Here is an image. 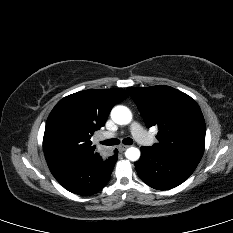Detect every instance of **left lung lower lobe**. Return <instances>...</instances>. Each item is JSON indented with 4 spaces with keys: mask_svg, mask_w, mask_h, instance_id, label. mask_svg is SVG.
<instances>
[{
    "mask_svg": "<svg viewBox=\"0 0 233 233\" xmlns=\"http://www.w3.org/2000/svg\"><path fill=\"white\" fill-rule=\"evenodd\" d=\"M203 154L183 150H158L141 147L135 162L139 177L158 190H168L183 183L195 170Z\"/></svg>",
    "mask_w": 233,
    "mask_h": 233,
    "instance_id": "obj_1",
    "label": "left lung lower lobe"
}]
</instances>
